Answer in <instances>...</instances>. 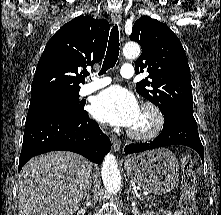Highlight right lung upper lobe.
<instances>
[{
    "label": "right lung upper lobe",
    "instance_id": "1",
    "mask_svg": "<svg viewBox=\"0 0 221 215\" xmlns=\"http://www.w3.org/2000/svg\"><path fill=\"white\" fill-rule=\"evenodd\" d=\"M109 27L107 20L91 16H78L63 25L48 41L39 59L31 101L79 92L82 76L78 71L103 58Z\"/></svg>",
    "mask_w": 221,
    "mask_h": 215
}]
</instances>
